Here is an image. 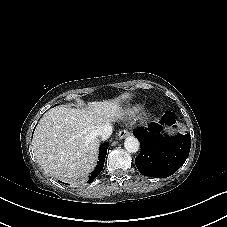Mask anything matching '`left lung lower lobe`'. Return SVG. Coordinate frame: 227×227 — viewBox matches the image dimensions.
<instances>
[{"label": "left lung lower lobe", "mask_w": 227, "mask_h": 227, "mask_svg": "<svg viewBox=\"0 0 227 227\" xmlns=\"http://www.w3.org/2000/svg\"><path fill=\"white\" fill-rule=\"evenodd\" d=\"M176 114L166 111L162 124H174ZM161 126L152 123L148 128L133 131L140 141L141 151L135 159L137 169L144 176L166 178L174 174L186 161L190 147V134L169 137L160 134Z\"/></svg>", "instance_id": "left-lung-lower-lobe-1"}]
</instances>
